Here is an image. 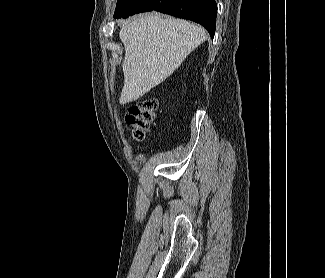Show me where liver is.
<instances>
[{"label": "liver", "mask_w": 325, "mask_h": 278, "mask_svg": "<svg viewBox=\"0 0 325 278\" xmlns=\"http://www.w3.org/2000/svg\"><path fill=\"white\" fill-rule=\"evenodd\" d=\"M119 36L125 48L120 104L136 101L162 83L207 39L203 27L157 13L132 18Z\"/></svg>", "instance_id": "1"}]
</instances>
